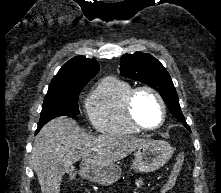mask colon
Here are the masks:
<instances>
[{
    "mask_svg": "<svg viewBox=\"0 0 221 193\" xmlns=\"http://www.w3.org/2000/svg\"><path fill=\"white\" fill-rule=\"evenodd\" d=\"M184 163V155L180 154L173 165L172 171L169 175L167 182L163 185L160 190V193H167L170 191L176 183L177 177L182 169Z\"/></svg>",
    "mask_w": 221,
    "mask_h": 193,
    "instance_id": "5ec220e1",
    "label": "colon"
}]
</instances>
